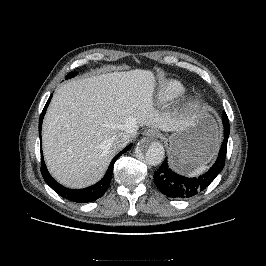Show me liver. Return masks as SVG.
<instances>
[{
    "instance_id": "1",
    "label": "liver",
    "mask_w": 266,
    "mask_h": 266,
    "mask_svg": "<svg viewBox=\"0 0 266 266\" xmlns=\"http://www.w3.org/2000/svg\"><path fill=\"white\" fill-rule=\"evenodd\" d=\"M155 76L135 69L69 81L56 89L43 127L48 170L61 184L83 188L99 181L117 153L111 138L140 126L179 131L188 122L158 114ZM132 134V136L136 133Z\"/></svg>"
}]
</instances>
